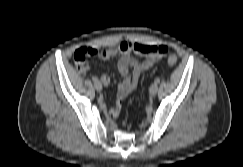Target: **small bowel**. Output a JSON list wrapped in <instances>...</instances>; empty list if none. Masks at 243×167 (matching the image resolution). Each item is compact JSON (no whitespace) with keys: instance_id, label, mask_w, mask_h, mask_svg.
I'll use <instances>...</instances> for the list:
<instances>
[{"instance_id":"obj_1","label":"small bowel","mask_w":243,"mask_h":167,"mask_svg":"<svg viewBox=\"0 0 243 167\" xmlns=\"http://www.w3.org/2000/svg\"><path fill=\"white\" fill-rule=\"evenodd\" d=\"M91 56L102 59L118 57V71L121 80L118 84L117 99L110 109V116L117 118L121 111V100L130 94L137 86L141 74L154 66V64L168 52L165 45H154L149 43H130L121 41L116 46L108 49L90 48ZM132 52L140 56L137 59ZM101 82L108 86L110 78L108 75L100 77Z\"/></svg>"}]
</instances>
